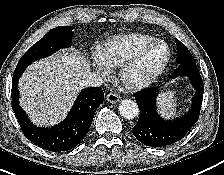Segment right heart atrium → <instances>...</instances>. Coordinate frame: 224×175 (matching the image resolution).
<instances>
[{
  "mask_svg": "<svg viewBox=\"0 0 224 175\" xmlns=\"http://www.w3.org/2000/svg\"><path fill=\"white\" fill-rule=\"evenodd\" d=\"M94 63L97 70L102 74L106 75L108 73L109 67L100 59L99 55L94 57Z\"/></svg>",
  "mask_w": 224,
  "mask_h": 175,
  "instance_id": "obj_1",
  "label": "right heart atrium"
}]
</instances>
